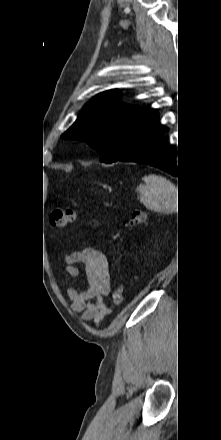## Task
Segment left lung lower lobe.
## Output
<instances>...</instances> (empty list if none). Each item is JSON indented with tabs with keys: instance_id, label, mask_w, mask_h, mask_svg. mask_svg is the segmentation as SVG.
<instances>
[{
	"instance_id": "left-lung-lower-lobe-1",
	"label": "left lung lower lobe",
	"mask_w": 221,
	"mask_h": 440,
	"mask_svg": "<svg viewBox=\"0 0 221 440\" xmlns=\"http://www.w3.org/2000/svg\"><path fill=\"white\" fill-rule=\"evenodd\" d=\"M166 131L168 128L159 124L158 113L148 112L135 127L126 151L117 161L148 164L180 178V164L163 139Z\"/></svg>"
}]
</instances>
